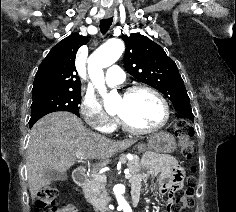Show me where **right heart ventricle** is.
Masks as SVG:
<instances>
[{
    "label": "right heart ventricle",
    "instance_id": "obj_1",
    "mask_svg": "<svg viewBox=\"0 0 236 212\" xmlns=\"http://www.w3.org/2000/svg\"><path fill=\"white\" fill-rule=\"evenodd\" d=\"M116 126H117V125H116V123H115V124H114V128H113V129H115V128H116Z\"/></svg>",
    "mask_w": 236,
    "mask_h": 212
}]
</instances>
